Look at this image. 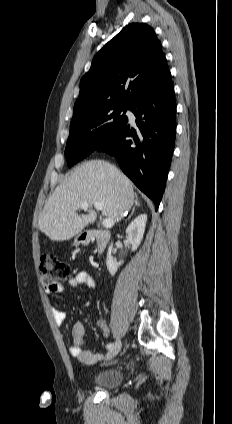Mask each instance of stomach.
Returning a JSON list of instances; mask_svg holds the SVG:
<instances>
[{"mask_svg": "<svg viewBox=\"0 0 232 424\" xmlns=\"http://www.w3.org/2000/svg\"><path fill=\"white\" fill-rule=\"evenodd\" d=\"M83 240L84 239L81 237V235L77 236L75 238L74 245H79L80 243H83Z\"/></svg>", "mask_w": 232, "mask_h": 424, "instance_id": "obj_1", "label": "stomach"}]
</instances>
